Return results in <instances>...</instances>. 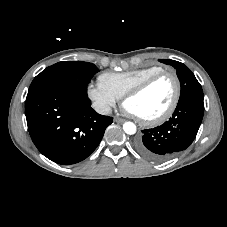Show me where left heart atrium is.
I'll return each instance as SVG.
<instances>
[{
  "mask_svg": "<svg viewBox=\"0 0 227 227\" xmlns=\"http://www.w3.org/2000/svg\"><path fill=\"white\" fill-rule=\"evenodd\" d=\"M124 109L126 112L134 115V113L128 107L124 106Z\"/></svg>",
  "mask_w": 227,
  "mask_h": 227,
  "instance_id": "obj_1",
  "label": "left heart atrium"
}]
</instances>
